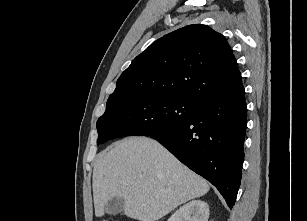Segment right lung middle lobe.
<instances>
[{"label": "right lung middle lobe", "mask_w": 307, "mask_h": 221, "mask_svg": "<svg viewBox=\"0 0 307 221\" xmlns=\"http://www.w3.org/2000/svg\"><path fill=\"white\" fill-rule=\"evenodd\" d=\"M199 104L165 95H138L106 106L97 121V144L124 136H151L187 121Z\"/></svg>", "instance_id": "obj_1"}]
</instances>
